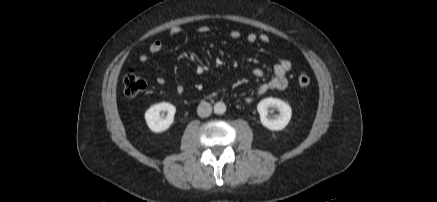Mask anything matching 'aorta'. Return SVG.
I'll return each instance as SVG.
<instances>
[{
    "label": "aorta",
    "instance_id": "obj_1",
    "mask_svg": "<svg viewBox=\"0 0 437 202\" xmlns=\"http://www.w3.org/2000/svg\"><path fill=\"white\" fill-rule=\"evenodd\" d=\"M214 112L218 115L224 114L226 112V105L223 102L215 103Z\"/></svg>",
    "mask_w": 437,
    "mask_h": 202
}]
</instances>
